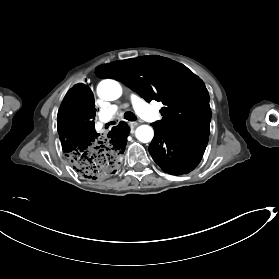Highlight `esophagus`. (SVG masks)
<instances>
[{
  "instance_id": "obj_1",
  "label": "esophagus",
  "mask_w": 279,
  "mask_h": 279,
  "mask_svg": "<svg viewBox=\"0 0 279 279\" xmlns=\"http://www.w3.org/2000/svg\"><path fill=\"white\" fill-rule=\"evenodd\" d=\"M129 126H130L131 128H135L136 126H138V123H137V122H130V123H129Z\"/></svg>"
}]
</instances>
